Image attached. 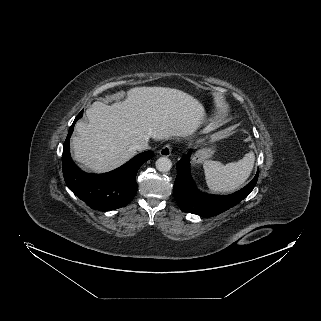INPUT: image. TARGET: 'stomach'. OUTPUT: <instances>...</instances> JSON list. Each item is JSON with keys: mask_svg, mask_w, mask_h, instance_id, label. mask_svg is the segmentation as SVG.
<instances>
[{"mask_svg": "<svg viewBox=\"0 0 321 321\" xmlns=\"http://www.w3.org/2000/svg\"><path fill=\"white\" fill-rule=\"evenodd\" d=\"M214 153L215 149L213 147L201 148L195 152L192 160L194 163H202L210 158Z\"/></svg>", "mask_w": 321, "mask_h": 321, "instance_id": "1", "label": "stomach"}]
</instances>
